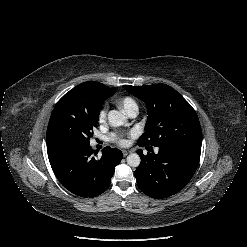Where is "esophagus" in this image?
Segmentation results:
<instances>
[{"mask_svg": "<svg viewBox=\"0 0 247 247\" xmlns=\"http://www.w3.org/2000/svg\"><path fill=\"white\" fill-rule=\"evenodd\" d=\"M122 153H123V156L125 157V156H127L129 153H131V151H130V150H123Z\"/></svg>", "mask_w": 247, "mask_h": 247, "instance_id": "1", "label": "esophagus"}]
</instances>
